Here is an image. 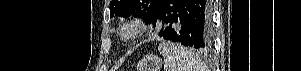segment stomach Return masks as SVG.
<instances>
[{
    "mask_svg": "<svg viewBox=\"0 0 301 71\" xmlns=\"http://www.w3.org/2000/svg\"><path fill=\"white\" fill-rule=\"evenodd\" d=\"M162 60L157 55L148 54L137 64V71H160Z\"/></svg>",
    "mask_w": 301,
    "mask_h": 71,
    "instance_id": "obj_1",
    "label": "stomach"
}]
</instances>
